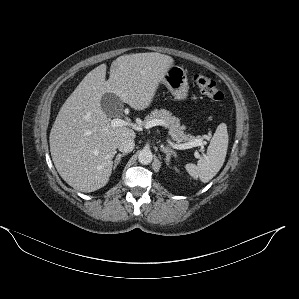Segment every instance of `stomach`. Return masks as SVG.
<instances>
[{"label": "stomach", "mask_w": 299, "mask_h": 299, "mask_svg": "<svg viewBox=\"0 0 299 299\" xmlns=\"http://www.w3.org/2000/svg\"><path fill=\"white\" fill-rule=\"evenodd\" d=\"M171 92L176 101H184L188 97L189 85L186 71L177 65H172L161 81Z\"/></svg>", "instance_id": "1"}]
</instances>
